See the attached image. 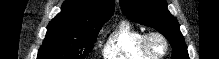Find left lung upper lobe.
Instances as JSON below:
<instances>
[{
    "label": "left lung upper lobe",
    "instance_id": "5c2ea615",
    "mask_svg": "<svg viewBox=\"0 0 219 59\" xmlns=\"http://www.w3.org/2000/svg\"><path fill=\"white\" fill-rule=\"evenodd\" d=\"M124 14L132 21L162 33L172 46V59H189L177 19L168 11L165 0H119Z\"/></svg>",
    "mask_w": 219,
    "mask_h": 59
}]
</instances>
